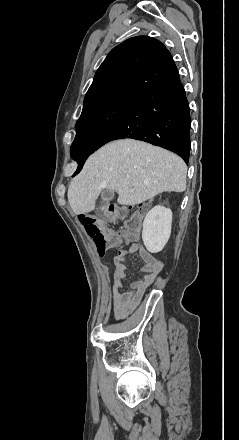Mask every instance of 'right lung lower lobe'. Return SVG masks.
<instances>
[{
	"instance_id": "obj_1",
	"label": "right lung lower lobe",
	"mask_w": 239,
	"mask_h": 440,
	"mask_svg": "<svg viewBox=\"0 0 239 440\" xmlns=\"http://www.w3.org/2000/svg\"><path fill=\"white\" fill-rule=\"evenodd\" d=\"M190 127L189 104L175 66L152 88L131 100L90 151L71 153L78 163L75 174L82 169L91 153L109 141L123 138L142 140L168 149L188 163Z\"/></svg>"
}]
</instances>
